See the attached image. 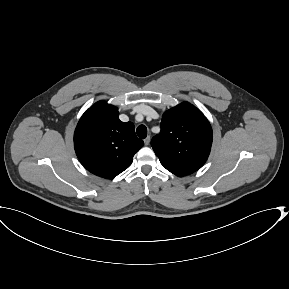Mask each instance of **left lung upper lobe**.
Masks as SVG:
<instances>
[{"mask_svg":"<svg viewBox=\"0 0 289 289\" xmlns=\"http://www.w3.org/2000/svg\"><path fill=\"white\" fill-rule=\"evenodd\" d=\"M151 145L161 164L182 177L206 162L212 145V128L202 112L183 102L163 114L161 132L153 137Z\"/></svg>","mask_w":289,"mask_h":289,"instance_id":"obj_1","label":"left lung upper lobe"}]
</instances>
